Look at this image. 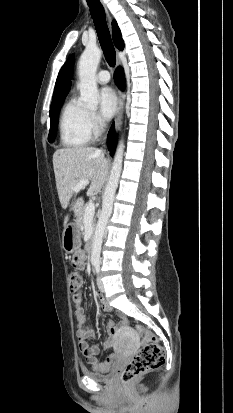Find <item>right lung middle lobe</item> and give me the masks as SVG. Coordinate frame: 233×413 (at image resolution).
<instances>
[{
  "label": "right lung middle lobe",
  "mask_w": 233,
  "mask_h": 413,
  "mask_svg": "<svg viewBox=\"0 0 233 413\" xmlns=\"http://www.w3.org/2000/svg\"><path fill=\"white\" fill-rule=\"evenodd\" d=\"M63 101H60L59 103L56 104H51L50 107V131H49V136L48 140L49 142H53L56 136V131H57V124H58V114L59 110L63 104Z\"/></svg>",
  "instance_id": "obj_1"
}]
</instances>
